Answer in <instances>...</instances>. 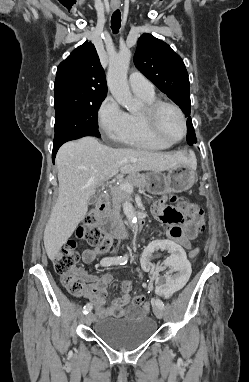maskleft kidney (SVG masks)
<instances>
[{"mask_svg":"<svg viewBox=\"0 0 249 382\" xmlns=\"http://www.w3.org/2000/svg\"><path fill=\"white\" fill-rule=\"evenodd\" d=\"M144 260L138 261L143 273H151L150 283L157 287L154 292L155 298H169L174 289L186 287L191 276V261L182 245H176L175 240H162L155 237L152 245H144ZM154 257H166V260L153 261Z\"/></svg>","mask_w":249,"mask_h":382,"instance_id":"1","label":"left kidney"}]
</instances>
